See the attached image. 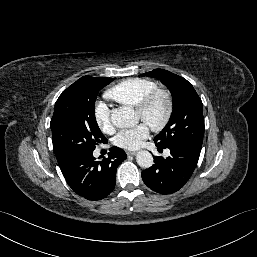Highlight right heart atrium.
<instances>
[{
    "mask_svg": "<svg viewBox=\"0 0 257 257\" xmlns=\"http://www.w3.org/2000/svg\"><path fill=\"white\" fill-rule=\"evenodd\" d=\"M96 123L104 132H109L112 129V123L109 115V110L104 104H99L95 113Z\"/></svg>",
    "mask_w": 257,
    "mask_h": 257,
    "instance_id": "right-heart-atrium-1",
    "label": "right heart atrium"
}]
</instances>
